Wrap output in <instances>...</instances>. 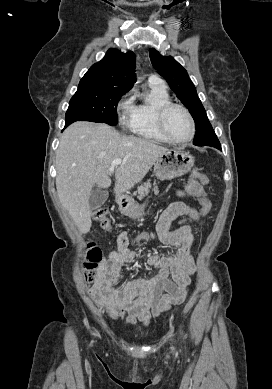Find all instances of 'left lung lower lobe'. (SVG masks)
Masks as SVG:
<instances>
[{
	"label": "left lung lower lobe",
	"mask_w": 272,
	"mask_h": 389,
	"mask_svg": "<svg viewBox=\"0 0 272 389\" xmlns=\"http://www.w3.org/2000/svg\"><path fill=\"white\" fill-rule=\"evenodd\" d=\"M207 146L215 147L219 150H221V145L217 137L213 138L209 143L206 144Z\"/></svg>",
	"instance_id": "left-lung-lower-lobe-1"
}]
</instances>
